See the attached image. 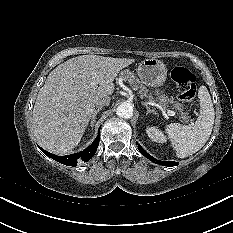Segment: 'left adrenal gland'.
Returning a JSON list of instances; mask_svg holds the SVG:
<instances>
[{
	"label": "left adrenal gland",
	"mask_w": 233,
	"mask_h": 233,
	"mask_svg": "<svg viewBox=\"0 0 233 233\" xmlns=\"http://www.w3.org/2000/svg\"><path fill=\"white\" fill-rule=\"evenodd\" d=\"M145 106H146V110H147L146 115H148L149 113H153L155 115H158V113L154 109H150V107H148L147 105H145Z\"/></svg>",
	"instance_id": "obj_1"
}]
</instances>
